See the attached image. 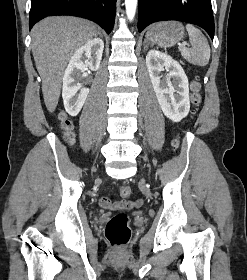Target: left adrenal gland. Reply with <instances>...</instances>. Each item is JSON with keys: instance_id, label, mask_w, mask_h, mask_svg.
Wrapping results in <instances>:
<instances>
[{"instance_id": "obj_1", "label": "left adrenal gland", "mask_w": 247, "mask_h": 280, "mask_svg": "<svg viewBox=\"0 0 247 280\" xmlns=\"http://www.w3.org/2000/svg\"><path fill=\"white\" fill-rule=\"evenodd\" d=\"M148 45H149L148 41H147V40H145V41H144V50H146V49H147Z\"/></svg>"}]
</instances>
